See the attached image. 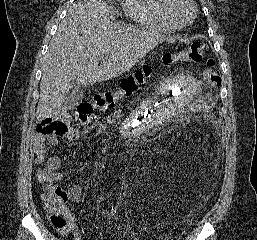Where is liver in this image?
<instances>
[{
	"label": "liver",
	"instance_id": "obj_1",
	"mask_svg": "<svg viewBox=\"0 0 257 240\" xmlns=\"http://www.w3.org/2000/svg\"><path fill=\"white\" fill-rule=\"evenodd\" d=\"M110 16L103 0H77L70 7L45 57L39 118L59 115L72 80L85 86L118 77L165 40L161 35L114 23Z\"/></svg>",
	"mask_w": 257,
	"mask_h": 240
}]
</instances>
